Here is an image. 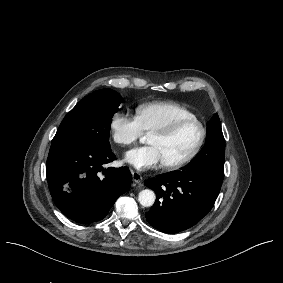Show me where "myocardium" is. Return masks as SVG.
<instances>
[{"mask_svg": "<svg viewBox=\"0 0 283 283\" xmlns=\"http://www.w3.org/2000/svg\"><path fill=\"white\" fill-rule=\"evenodd\" d=\"M195 123L199 127V138L196 142V145L192 149V151L181 161L176 163H165V166L168 170H179L187 165H189L200 153L202 150L204 143L207 138V128L205 124L197 117L195 116H184L176 119L174 122H172L169 126H167L165 129L156 131L153 133V135H156L163 139H169L171 138L177 130L186 123Z\"/></svg>", "mask_w": 283, "mask_h": 283, "instance_id": "obj_1", "label": "myocardium"}]
</instances>
